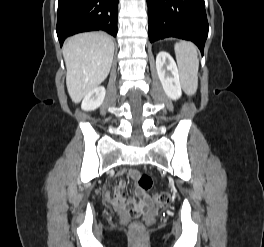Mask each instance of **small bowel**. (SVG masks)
<instances>
[{"instance_id": "obj_1", "label": "small bowel", "mask_w": 264, "mask_h": 247, "mask_svg": "<svg viewBox=\"0 0 264 247\" xmlns=\"http://www.w3.org/2000/svg\"><path fill=\"white\" fill-rule=\"evenodd\" d=\"M138 174V172L135 169H131L129 170V175L130 176H136ZM124 185L123 183H120L114 190V193L112 195V202L117 204V205H122L126 202V196L125 193L122 191ZM136 195L138 197H142V198H146L147 195L142 191V190H137L136 191Z\"/></svg>"}]
</instances>
